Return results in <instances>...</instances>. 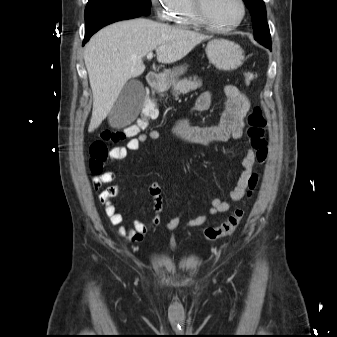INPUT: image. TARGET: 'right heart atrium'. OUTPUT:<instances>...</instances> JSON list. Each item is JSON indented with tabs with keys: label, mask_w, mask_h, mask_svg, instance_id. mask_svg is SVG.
I'll list each match as a JSON object with an SVG mask.
<instances>
[{
	"label": "right heart atrium",
	"mask_w": 337,
	"mask_h": 337,
	"mask_svg": "<svg viewBox=\"0 0 337 337\" xmlns=\"http://www.w3.org/2000/svg\"><path fill=\"white\" fill-rule=\"evenodd\" d=\"M155 7L156 14L161 20H171V13L174 9L177 0H151Z\"/></svg>",
	"instance_id": "obj_1"
}]
</instances>
